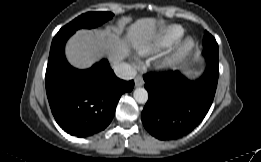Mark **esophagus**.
Listing matches in <instances>:
<instances>
[{
	"instance_id": "obj_1",
	"label": "esophagus",
	"mask_w": 261,
	"mask_h": 162,
	"mask_svg": "<svg viewBox=\"0 0 261 162\" xmlns=\"http://www.w3.org/2000/svg\"><path fill=\"white\" fill-rule=\"evenodd\" d=\"M134 83H135L136 87H140V86L144 85L143 77L141 75L136 76L134 79Z\"/></svg>"
}]
</instances>
